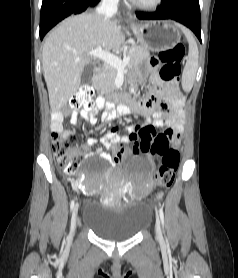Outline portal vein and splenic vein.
Masks as SVG:
<instances>
[{"label":"portal vein and splenic vein","instance_id":"18ae733b","mask_svg":"<svg viewBox=\"0 0 238 278\" xmlns=\"http://www.w3.org/2000/svg\"><path fill=\"white\" fill-rule=\"evenodd\" d=\"M88 56L96 57L110 66L121 70H123L130 62L129 57L121 59L107 51H103L101 47H97L96 49L88 52ZM76 60L78 61L79 58H76Z\"/></svg>","mask_w":238,"mask_h":278}]
</instances>
